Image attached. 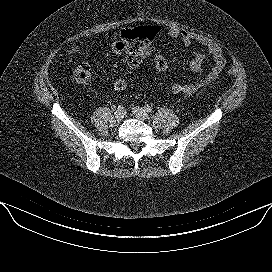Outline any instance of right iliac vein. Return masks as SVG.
<instances>
[{"label":"right iliac vein","instance_id":"63e3f726","mask_svg":"<svg viewBox=\"0 0 272 272\" xmlns=\"http://www.w3.org/2000/svg\"><path fill=\"white\" fill-rule=\"evenodd\" d=\"M114 116H115V119H116L117 121H121V120L124 118V113H123V111L117 110V111L114 113Z\"/></svg>","mask_w":272,"mask_h":272}]
</instances>
